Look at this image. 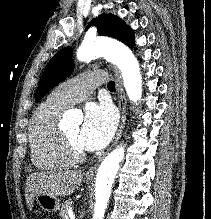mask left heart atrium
<instances>
[{"label": "left heart atrium", "instance_id": "39dd6f15", "mask_svg": "<svg viewBox=\"0 0 211 219\" xmlns=\"http://www.w3.org/2000/svg\"><path fill=\"white\" fill-rule=\"evenodd\" d=\"M116 124L115 114L109 105L88 106L79 136L81 147L87 151L105 147L115 132Z\"/></svg>", "mask_w": 211, "mask_h": 219}]
</instances>
